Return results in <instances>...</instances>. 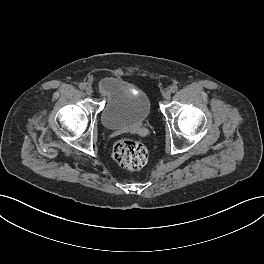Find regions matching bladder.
Returning a JSON list of instances; mask_svg holds the SVG:
<instances>
[{
  "mask_svg": "<svg viewBox=\"0 0 264 264\" xmlns=\"http://www.w3.org/2000/svg\"><path fill=\"white\" fill-rule=\"evenodd\" d=\"M104 99L101 121L110 130L133 128L143 124L151 113V101L140 86L119 79L100 84Z\"/></svg>",
  "mask_w": 264,
  "mask_h": 264,
  "instance_id": "bladder-1",
  "label": "bladder"
}]
</instances>
